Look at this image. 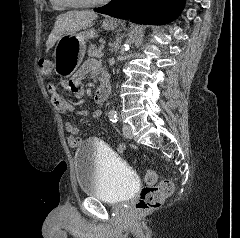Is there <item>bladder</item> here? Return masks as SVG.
Listing matches in <instances>:
<instances>
[{"label":"bladder","instance_id":"31cf9c89","mask_svg":"<svg viewBox=\"0 0 240 238\" xmlns=\"http://www.w3.org/2000/svg\"><path fill=\"white\" fill-rule=\"evenodd\" d=\"M80 191L109 204L129 200L137 186L132 169L109 147L94 140L82 143L74 155Z\"/></svg>","mask_w":240,"mask_h":238}]
</instances>
